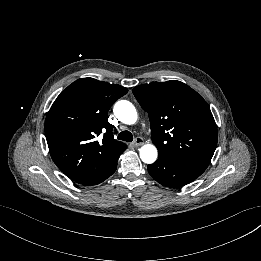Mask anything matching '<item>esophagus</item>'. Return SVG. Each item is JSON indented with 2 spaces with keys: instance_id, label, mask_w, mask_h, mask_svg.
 Wrapping results in <instances>:
<instances>
[{
  "instance_id": "esophagus-1",
  "label": "esophagus",
  "mask_w": 261,
  "mask_h": 261,
  "mask_svg": "<svg viewBox=\"0 0 261 261\" xmlns=\"http://www.w3.org/2000/svg\"><path fill=\"white\" fill-rule=\"evenodd\" d=\"M143 143H144V142H143V139H142L141 137L136 138V139L132 142V144H133L134 146L142 145Z\"/></svg>"
}]
</instances>
